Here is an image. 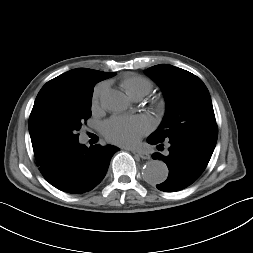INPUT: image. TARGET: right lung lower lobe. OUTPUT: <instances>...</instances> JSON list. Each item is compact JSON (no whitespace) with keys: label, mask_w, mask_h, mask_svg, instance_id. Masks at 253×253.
Listing matches in <instances>:
<instances>
[{"label":"right lung lower lobe","mask_w":253,"mask_h":253,"mask_svg":"<svg viewBox=\"0 0 253 253\" xmlns=\"http://www.w3.org/2000/svg\"><path fill=\"white\" fill-rule=\"evenodd\" d=\"M119 148L100 144L87 148L75 144L60 151L51 162L40 168L44 178L67 193H84L96 187L106 175L111 157Z\"/></svg>","instance_id":"1"}]
</instances>
